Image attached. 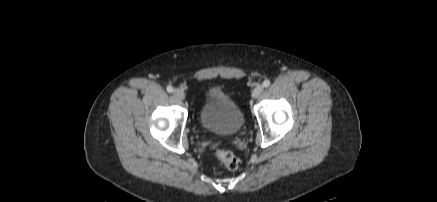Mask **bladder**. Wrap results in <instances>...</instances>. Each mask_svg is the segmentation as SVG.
Instances as JSON below:
<instances>
[{"mask_svg":"<svg viewBox=\"0 0 437 202\" xmlns=\"http://www.w3.org/2000/svg\"><path fill=\"white\" fill-rule=\"evenodd\" d=\"M200 127L221 136L238 134L245 122L239 105L222 89H210L198 112Z\"/></svg>","mask_w":437,"mask_h":202,"instance_id":"31cf9c89","label":"bladder"}]
</instances>
